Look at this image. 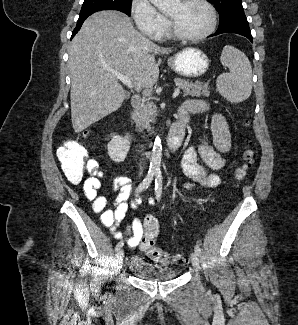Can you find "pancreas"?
Returning a JSON list of instances; mask_svg holds the SVG:
<instances>
[{"label": "pancreas", "instance_id": "pancreas-1", "mask_svg": "<svg viewBox=\"0 0 298 325\" xmlns=\"http://www.w3.org/2000/svg\"><path fill=\"white\" fill-rule=\"evenodd\" d=\"M174 82L179 88H182L183 96H187V94L190 96H210L209 82H201V80L193 82L188 78H174ZM157 112V106L154 102H146L133 112V120L137 126L151 130L150 122H155Z\"/></svg>", "mask_w": 298, "mask_h": 325}]
</instances>
